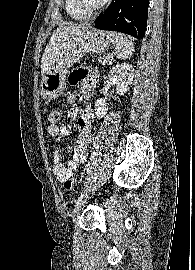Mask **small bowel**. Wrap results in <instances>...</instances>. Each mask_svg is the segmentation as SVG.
Here are the masks:
<instances>
[{
	"label": "small bowel",
	"mask_w": 195,
	"mask_h": 270,
	"mask_svg": "<svg viewBox=\"0 0 195 270\" xmlns=\"http://www.w3.org/2000/svg\"><path fill=\"white\" fill-rule=\"evenodd\" d=\"M69 82L72 85L80 86V93L89 95L97 82V75L95 72L86 69H76L69 75ZM76 101L74 94H67L65 102L72 105ZM70 117L76 120L79 136L73 146V156L67 163L62 161L58 150L53 155V174L59 181L69 179L78 168L86 162L87 148L93 141L92 122L94 120V113L89 105L83 106L80 110H72ZM48 133L54 138L55 143H59L65 139L69 134V129L66 125H49Z\"/></svg>",
	"instance_id": "c3829d8e"
}]
</instances>
